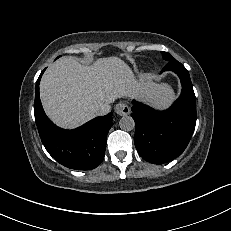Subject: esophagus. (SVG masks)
<instances>
[{"label":"esophagus","mask_w":231,"mask_h":231,"mask_svg":"<svg viewBox=\"0 0 231 231\" xmlns=\"http://www.w3.org/2000/svg\"><path fill=\"white\" fill-rule=\"evenodd\" d=\"M115 113L120 115V116H125L130 113V108L126 103L120 102L116 104L115 108Z\"/></svg>","instance_id":"1"}]
</instances>
